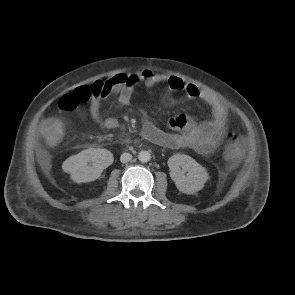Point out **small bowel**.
<instances>
[{
	"label": "small bowel",
	"mask_w": 295,
	"mask_h": 295,
	"mask_svg": "<svg viewBox=\"0 0 295 295\" xmlns=\"http://www.w3.org/2000/svg\"><path fill=\"white\" fill-rule=\"evenodd\" d=\"M131 76L135 79L134 83L119 92V101L124 105L131 103L134 94L139 88H150L156 84L165 83L169 92H182L188 98L198 99L206 103L212 110L211 118L200 124L185 114L170 118L168 122L170 132L156 127L150 121H146L142 136L147 141L172 149L188 148L207 155L214 152L229 133L228 108L224 102L213 94L174 75L143 70ZM94 83L88 86H92ZM109 94L94 97L86 113H82V115H87L105 128L116 129L119 126L116 118L107 117L102 119L100 116L101 103Z\"/></svg>",
	"instance_id": "small-bowel-1"
}]
</instances>
